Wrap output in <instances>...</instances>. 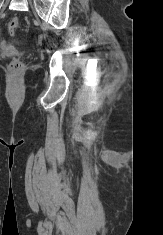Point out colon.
Instances as JSON below:
<instances>
[{"label":"colon","mask_w":163,"mask_h":235,"mask_svg":"<svg viewBox=\"0 0 163 235\" xmlns=\"http://www.w3.org/2000/svg\"><path fill=\"white\" fill-rule=\"evenodd\" d=\"M19 27V19L12 18L7 25V30L10 35H14ZM22 63L19 59H14L10 66V71L13 74H18L21 71Z\"/></svg>","instance_id":"1"}]
</instances>
